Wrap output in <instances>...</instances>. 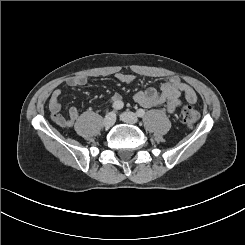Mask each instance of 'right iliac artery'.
Segmentation results:
<instances>
[{
  "label": "right iliac artery",
  "instance_id": "right-iliac-artery-1",
  "mask_svg": "<svg viewBox=\"0 0 245 245\" xmlns=\"http://www.w3.org/2000/svg\"><path fill=\"white\" fill-rule=\"evenodd\" d=\"M124 106L123 102L122 101H116L113 103L112 107L114 110H120L122 109Z\"/></svg>",
  "mask_w": 245,
  "mask_h": 245
}]
</instances>
